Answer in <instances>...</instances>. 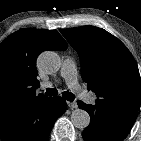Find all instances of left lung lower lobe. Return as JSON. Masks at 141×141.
<instances>
[{
    "label": "left lung lower lobe",
    "instance_id": "0a47b994",
    "mask_svg": "<svg viewBox=\"0 0 141 141\" xmlns=\"http://www.w3.org/2000/svg\"><path fill=\"white\" fill-rule=\"evenodd\" d=\"M78 106L91 118L82 133L85 141H123L137 116V111H117L99 104L86 105L82 101H78Z\"/></svg>",
    "mask_w": 141,
    "mask_h": 141
}]
</instances>
